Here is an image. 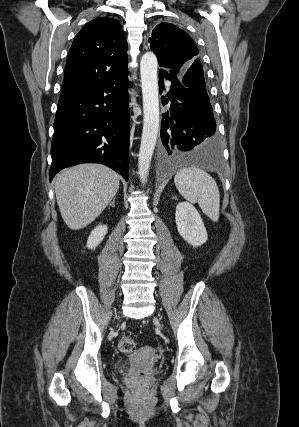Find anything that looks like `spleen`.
Returning a JSON list of instances; mask_svg holds the SVG:
<instances>
[{"label":"spleen","mask_w":299,"mask_h":427,"mask_svg":"<svg viewBox=\"0 0 299 427\" xmlns=\"http://www.w3.org/2000/svg\"><path fill=\"white\" fill-rule=\"evenodd\" d=\"M174 183L179 193L189 202L198 203L211 220L219 219L220 194L215 180L204 170L188 167L179 170Z\"/></svg>","instance_id":"3e777b00"}]
</instances>
